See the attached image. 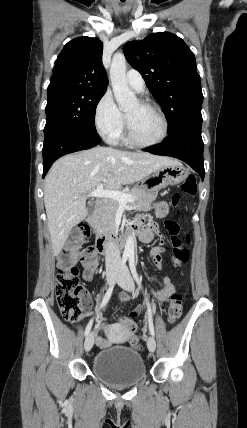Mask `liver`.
<instances>
[{
	"label": "liver",
	"instance_id": "1",
	"mask_svg": "<svg viewBox=\"0 0 247 428\" xmlns=\"http://www.w3.org/2000/svg\"><path fill=\"white\" fill-rule=\"evenodd\" d=\"M178 163L165 156L100 146L60 158L48 172L44 189L53 254L61 252L71 229L86 218V197L98 185L117 190Z\"/></svg>",
	"mask_w": 247,
	"mask_h": 428
}]
</instances>
